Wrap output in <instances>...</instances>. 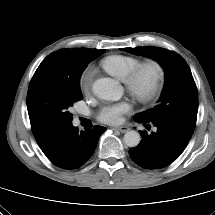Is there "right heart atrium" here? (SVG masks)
I'll list each match as a JSON object with an SVG mask.
<instances>
[{
  "label": "right heart atrium",
  "instance_id": "right-heart-atrium-1",
  "mask_svg": "<svg viewBox=\"0 0 215 215\" xmlns=\"http://www.w3.org/2000/svg\"><path fill=\"white\" fill-rule=\"evenodd\" d=\"M92 84V71H86L80 78V88L82 92L88 93Z\"/></svg>",
  "mask_w": 215,
  "mask_h": 215
}]
</instances>
